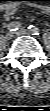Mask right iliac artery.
Listing matches in <instances>:
<instances>
[{
    "label": "right iliac artery",
    "instance_id": "82829eb1",
    "mask_svg": "<svg viewBox=\"0 0 50 111\" xmlns=\"http://www.w3.org/2000/svg\"><path fill=\"white\" fill-rule=\"evenodd\" d=\"M21 27V24L19 22H11L9 25H8V29L10 31H17L19 28Z\"/></svg>",
    "mask_w": 50,
    "mask_h": 111
}]
</instances>
